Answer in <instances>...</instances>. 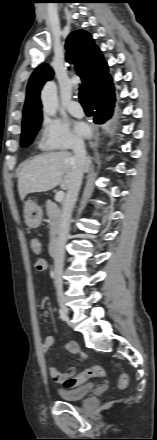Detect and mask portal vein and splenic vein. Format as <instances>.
<instances>
[{
	"label": "portal vein and splenic vein",
	"instance_id": "18ae733b",
	"mask_svg": "<svg viewBox=\"0 0 157 440\" xmlns=\"http://www.w3.org/2000/svg\"><path fill=\"white\" fill-rule=\"evenodd\" d=\"M64 195H65L64 191L57 192L56 195H55V201L56 202H62L63 199H64Z\"/></svg>",
	"mask_w": 157,
	"mask_h": 440
}]
</instances>
